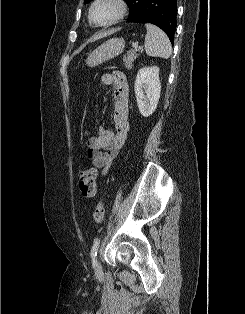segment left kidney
I'll use <instances>...</instances> for the list:
<instances>
[{
    "label": "left kidney",
    "mask_w": 245,
    "mask_h": 314,
    "mask_svg": "<svg viewBox=\"0 0 245 314\" xmlns=\"http://www.w3.org/2000/svg\"><path fill=\"white\" fill-rule=\"evenodd\" d=\"M134 90L141 115L144 117L152 115L161 93L159 68L156 66L141 68L136 76Z\"/></svg>",
    "instance_id": "left-kidney-1"
}]
</instances>
